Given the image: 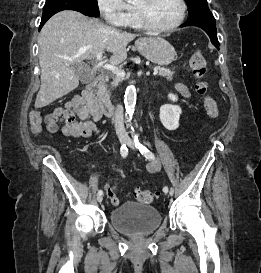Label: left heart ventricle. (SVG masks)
Listing matches in <instances>:
<instances>
[{
    "label": "left heart ventricle",
    "instance_id": "b2bd125f",
    "mask_svg": "<svg viewBox=\"0 0 261 273\" xmlns=\"http://www.w3.org/2000/svg\"><path fill=\"white\" fill-rule=\"evenodd\" d=\"M135 6L143 7L154 26L167 27L177 21L180 15L178 0H137Z\"/></svg>",
    "mask_w": 261,
    "mask_h": 273
}]
</instances>
